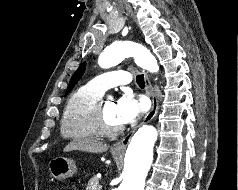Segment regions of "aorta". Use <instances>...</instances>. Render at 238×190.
Masks as SVG:
<instances>
[{"instance_id":"obj_1","label":"aorta","mask_w":238,"mask_h":190,"mask_svg":"<svg viewBox=\"0 0 238 190\" xmlns=\"http://www.w3.org/2000/svg\"><path fill=\"white\" fill-rule=\"evenodd\" d=\"M128 57H134L137 65L152 73L159 70L157 60L150 51L131 41L113 42L100 54L98 64L101 68L108 69ZM157 137V130L151 125L140 127L133 135L125 154L123 181L117 190H144Z\"/></svg>"}]
</instances>
